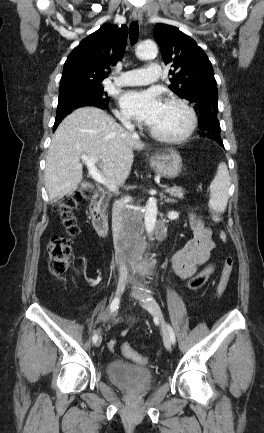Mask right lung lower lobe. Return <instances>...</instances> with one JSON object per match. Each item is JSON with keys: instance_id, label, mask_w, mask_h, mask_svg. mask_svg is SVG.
I'll list each match as a JSON object with an SVG mask.
<instances>
[{"instance_id": "98d812e1", "label": "right lung lower lobe", "mask_w": 264, "mask_h": 433, "mask_svg": "<svg viewBox=\"0 0 264 433\" xmlns=\"http://www.w3.org/2000/svg\"><path fill=\"white\" fill-rule=\"evenodd\" d=\"M82 106H94V107H99V108H101V109H105V108H106V106H104V105H102V104H99V103H97V102H93V101H89V102H87V103H82V104H80L79 107H82ZM79 107H77V108H79ZM74 109H76V108H74ZM64 117H65V116H64ZM64 117H59V118H56V119H55V124H54L53 131H55V129L57 128V126L59 125V123L62 121V119H63Z\"/></svg>"}]
</instances>
